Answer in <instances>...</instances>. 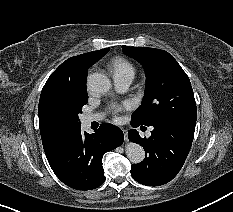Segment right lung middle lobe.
Segmentation results:
<instances>
[{"instance_id": "1", "label": "right lung middle lobe", "mask_w": 233, "mask_h": 212, "mask_svg": "<svg viewBox=\"0 0 233 212\" xmlns=\"http://www.w3.org/2000/svg\"><path fill=\"white\" fill-rule=\"evenodd\" d=\"M88 101L87 89L66 90L50 95L45 103V114L49 123L63 133L81 127L78 117Z\"/></svg>"}]
</instances>
